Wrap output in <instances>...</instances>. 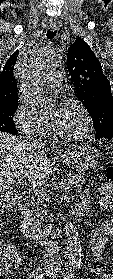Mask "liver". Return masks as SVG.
I'll list each match as a JSON object with an SVG mask.
<instances>
[{
    "label": "liver",
    "instance_id": "obj_1",
    "mask_svg": "<svg viewBox=\"0 0 113 279\" xmlns=\"http://www.w3.org/2000/svg\"><path fill=\"white\" fill-rule=\"evenodd\" d=\"M52 169L48 158L17 137L0 132V208H4L18 176L30 185H44Z\"/></svg>",
    "mask_w": 113,
    "mask_h": 279
}]
</instances>
